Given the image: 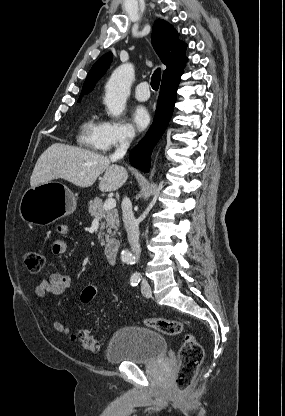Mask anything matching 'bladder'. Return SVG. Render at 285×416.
Here are the masks:
<instances>
[{
  "instance_id": "1",
  "label": "bladder",
  "mask_w": 285,
  "mask_h": 416,
  "mask_svg": "<svg viewBox=\"0 0 285 416\" xmlns=\"http://www.w3.org/2000/svg\"><path fill=\"white\" fill-rule=\"evenodd\" d=\"M167 355V343L162 334L139 325L117 329L111 336L107 359L116 362L152 363Z\"/></svg>"
}]
</instances>
